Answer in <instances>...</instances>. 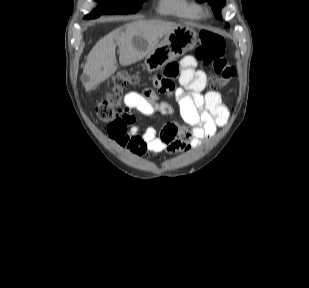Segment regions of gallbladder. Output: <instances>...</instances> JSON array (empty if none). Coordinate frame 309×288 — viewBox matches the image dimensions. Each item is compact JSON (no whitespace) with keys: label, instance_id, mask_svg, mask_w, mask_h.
<instances>
[{"label":"gallbladder","instance_id":"obj_1","mask_svg":"<svg viewBox=\"0 0 309 288\" xmlns=\"http://www.w3.org/2000/svg\"><path fill=\"white\" fill-rule=\"evenodd\" d=\"M97 88H98V85L94 86L92 90H96Z\"/></svg>","mask_w":309,"mask_h":288}]
</instances>
